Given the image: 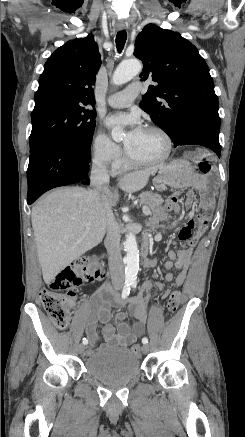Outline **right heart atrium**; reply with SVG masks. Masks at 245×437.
Instances as JSON below:
<instances>
[{"label":"right heart atrium","instance_id":"d8ad5b80","mask_svg":"<svg viewBox=\"0 0 245 437\" xmlns=\"http://www.w3.org/2000/svg\"><path fill=\"white\" fill-rule=\"evenodd\" d=\"M93 162L102 168L114 169L123 162L120 147L101 129H97L90 143Z\"/></svg>","mask_w":245,"mask_h":437}]
</instances>
